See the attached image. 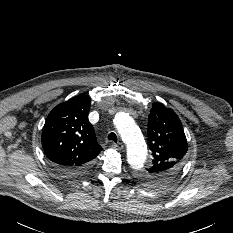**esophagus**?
<instances>
[{
    "label": "esophagus",
    "instance_id": "esophagus-1",
    "mask_svg": "<svg viewBox=\"0 0 233 233\" xmlns=\"http://www.w3.org/2000/svg\"><path fill=\"white\" fill-rule=\"evenodd\" d=\"M111 146L117 150H121L124 148L122 143H113Z\"/></svg>",
    "mask_w": 233,
    "mask_h": 233
}]
</instances>
